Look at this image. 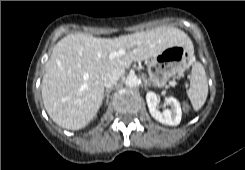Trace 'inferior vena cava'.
<instances>
[{"label":"inferior vena cava","mask_w":245,"mask_h":170,"mask_svg":"<svg viewBox=\"0 0 245 170\" xmlns=\"http://www.w3.org/2000/svg\"><path fill=\"white\" fill-rule=\"evenodd\" d=\"M124 74V71H111L104 76V85L107 89L112 88L119 78Z\"/></svg>","instance_id":"1"}]
</instances>
